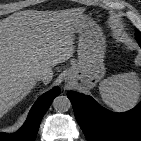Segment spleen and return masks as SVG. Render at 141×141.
Here are the masks:
<instances>
[{
	"label": "spleen",
	"mask_w": 141,
	"mask_h": 141,
	"mask_svg": "<svg viewBox=\"0 0 141 141\" xmlns=\"http://www.w3.org/2000/svg\"><path fill=\"white\" fill-rule=\"evenodd\" d=\"M140 82L135 72L116 75L100 83L102 100L117 111L133 107L140 95Z\"/></svg>",
	"instance_id": "3e777b00"
}]
</instances>
